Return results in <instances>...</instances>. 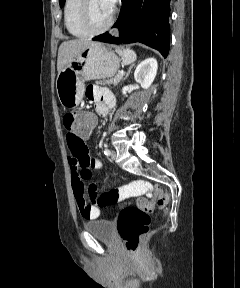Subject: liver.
<instances>
[{"mask_svg":"<svg viewBox=\"0 0 240 288\" xmlns=\"http://www.w3.org/2000/svg\"><path fill=\"white\" fill-rule=\"evenodd\" d=\"M93 43L90 39H73L63 42L58 50L57 71L58 74L66 65L76 56H78L86 47Z\"/></svg>","mask_w":240,"mask_h":288,"instance_id":"1","label":"liver"}]
</instances>
